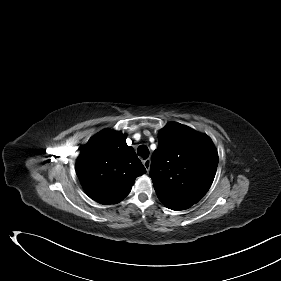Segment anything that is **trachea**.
I'll list each match as a JSON object with an SVG mask.
<instances>
[{
    "label": "trachea",
    "instance_id": "3493384b",
    "mask_svg": "<svg viewBox=\"0 0 281 281\" xmlns=\"http://www.w3.org/2000/svg\"><path fill=\"white\" fill-rule=\"evenodd\" d=\"M137 153L139 156H141L143 159H147L149 156V149L145 145L139 146Z\"/></svg>",
    "mask_w": 281,
    "mask_h": 281
}]
</instances>
